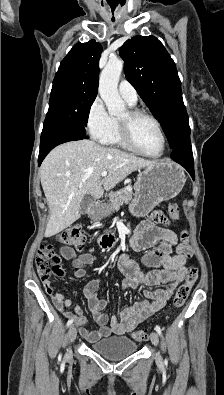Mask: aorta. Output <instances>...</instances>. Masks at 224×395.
Returning <instances> with one entry per match:
<instances>
[{
	"instance_id": "aorta-1",
	"label": "aorta",
	"mask_w": 224,
	"mask_h": 395,
	"mask_svg": "<svg viewBox=\"0 0 224 395\" xmlns=\"http://www.w3.org/2000/svg\"><path fill=\"white\" fill-rule=\"evenodd\" d=\"M122 69V60L109 59L100 75L99 93L110 116H118L125 112V103L117 89Z\"/></svg>"
}]
</instances>
